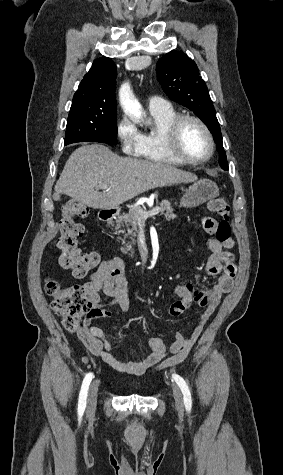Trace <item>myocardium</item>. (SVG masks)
<instances>
[{
	"label": "myocardium",
	"instance_id": "f54148a6",
	"mask_svg": "<svg viewBox=\"0 0 283 475\" xmlns=\"http://www.w3.org/2000/svg\"><path fill=\"white\" fill-rule=\"evenodd\" d=\"M186 121H193L197 123L205 133L208 143H209V151L207 152L206 155L200 157V158H187V157H171L167 151H166V144L167 143H173L176 144L178 143L179 140V134L182 125ZM158 153L159 155L163 158L164 162H206L212 156L214 155L215 152V142L213 135L206 125V123L199 117L193 116V115H178L174 119H172L168 125L165 128L164 134L161 136L159 142H158Z\"/></svg>",
	"mask_w": 283,
	"mask_h": 475
}]
</instances>
